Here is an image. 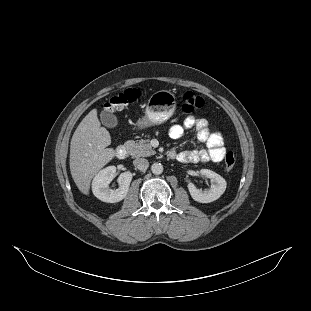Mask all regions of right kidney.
<instances>
[{
    "mask_svg": "<svg viewBox=\"0 0 311 311\" xmlns=\"http://www.w3.org/2000/svg\"><path fill=\"white\" fill-rule=\"evenodd\" d=\"M115 172V166L106 167L101 170L92 181V192L94 196L103 202H119L123 200L128 193L132 180V173H121L118 178L119 188L112 190L109 188V183L113 180Z\"/></svg>",
    "mask_w": 311,
    "mask_h": 311,
    "instance_id": "1",
    "label": "right kidney"
}]
</instances>
